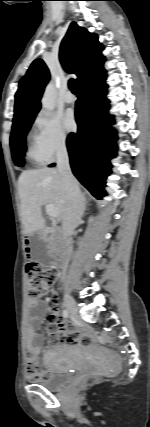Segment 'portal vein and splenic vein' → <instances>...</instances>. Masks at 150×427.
Returning a JSON list of instances; mask_svg holds the SVG:
<instances>
[{
    "label": "portal vein and splenic vein",
    "mask_w": 150,
    "mask_h": 427,
    "mask_svg": "<svg viewBox=\"0 0 150 427\" xmlns=\"http://www.w3.org/2000/svg\"><path fill=\"white\" fill-rule=\"evenodd\" d=\"M46 213L51 217V218H56L59 215V211L58 209L53 206V205H46Z\"/></svg>",
    "instance_id": "portal-vein-and-splenic-vein-1"
}]
</instances>
